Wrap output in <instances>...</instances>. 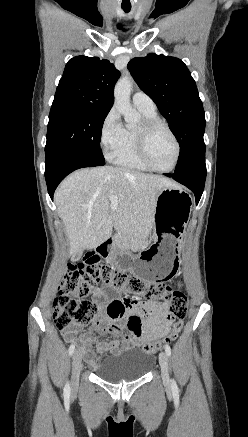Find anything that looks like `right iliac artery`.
<instances>
[{
	"label": "right iliac artery",
	"instance_id": "obj_1",
	"mask_svg": "<svg viewBox=\"0 0 248 437\" xmlns=\"http://www.w3.org/2000/svg\"><path fill=\"white\" fill-rule=\"evenodd\" d=\"M74 350H75V345L71 344L70 347H69V355L70 356L73 354ZM69 394H70V385L67 382L65 387H64V395L65 396H69Z\"/></svg>",
	"mask_w": 248,
	"mask_h": 437
}]
</instances>
